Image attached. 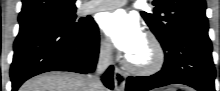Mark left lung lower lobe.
<instances>
[{
    "label": "left lung lower lobe",
    "instance_id": "1",
    "mask_svg": "<svg viewBox=\"0 0 220 91\" xmlns=\"http://www.w3.org/2000/svg\"><path fill=\"white\" fill-rule=\"evenodd\" d=\"M162 70L150 77H128L126 91H147L169 84H185L198 91H215V68L208 35L182 33L166 44Z\"/></svg>",
    "mask_w": 220,
    "mask_h": 91
}]
</instances>
